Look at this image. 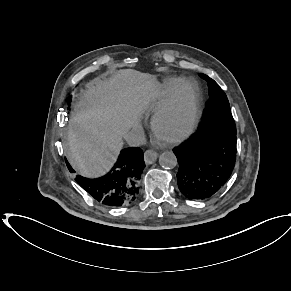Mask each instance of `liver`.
I'll list each match as a JSON object with an SVG mask.
<instances>
[{"mask_svg": "<svg viewBox=\"0 0 291 291\" xmlns=\"http://www.w3.org/2000/svg\"><path fill=\"white\" fill-rule=\"evenodd\" d=\"M155 77L133 69L87 85L67 127V151L81 175L96 178L109 170L122 148V137L139 126L155 99Z\"/></svg>", "mask_w": 291, "mask_h": 291, "instance_id": "6515ba94", "label": "liver"}]
</instances>
